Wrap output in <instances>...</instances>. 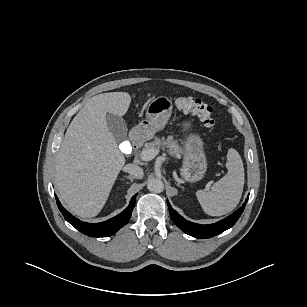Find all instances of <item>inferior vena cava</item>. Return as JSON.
Masks as SVG:
<instances>
[{"label": "inferior vena cava", "mask_w": 307, "mask_h": 307, "mask_svg": "<svg viewBox=\"0 0 307 307\" xmlns=\"http://www.w3.org/2000/svg\"><path fill=\"white\" fill-rule=\"evenodd\" d=\"M123 171L133 175L137 179L143 178V169L137 165L134 164H127L124 166Z\"/></svg>", "instance_id": "602c4592"}]
</instances>
